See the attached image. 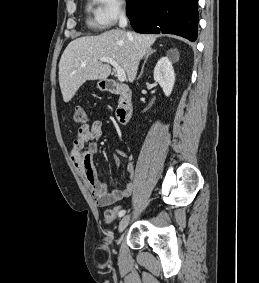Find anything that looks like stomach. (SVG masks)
Here are the masks:
<instances>
[{"mask_svg": "<svg viewBox=\"0 0 259 283\" xmlns=\"http://www.w3.org/2000/svg\"><path fill=\"white\" fill-rule=\"evenodd\" d=\"M97 87H98L100 90H105V89H106V82H105L104 80L98 81Z\"/></svg>", "mask_w": 259, "mask_h": 283, "instance_id": "stomach-1", "label": "stomach"}]
</instances>
